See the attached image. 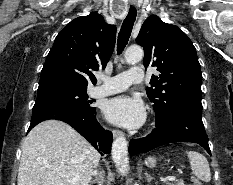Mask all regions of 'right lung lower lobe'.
I'll list each match as a JSON object with an SVG mask.
<instances>
[{"mask_svg":"<svg viewBox=\"0 0 233 185\" xmlns=\"http://www.w3.org/2000/svg\"><path fill=\"white\" fill-rule=\"evenodd\" d=\"M49 119L61 120L71 125L85 137L101 155L110 153L113 139L112 133L110 131H105L98 123L96 120V109L86 111L65 105H34L28 132L38 123Z\"/></svg>","mask_w":233,"mask_h":185,"instance_id":"98d812e1","label":"right lung lower lobe"}]
</instances>
